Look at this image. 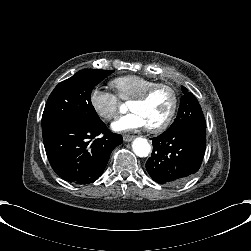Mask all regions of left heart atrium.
<instances>
[{"label": "left heart atrium", "instance_id": "obj_1", "mask_svg": "<svg viewBox=\"0 0 251 251\" xmlns=\"http://www.w3.org/2000/svg\"><path fill=\"white\" fill-rule=\"evenodd\" d=\"M147 126V119L139 110H133L127 114L118 116L112 123V128L118 132L132 131Z\"/></svg>", "mask_w": 251, "mask_h": 251}]
</instances>
